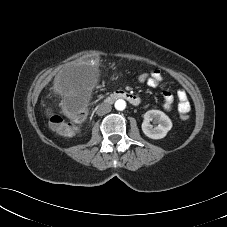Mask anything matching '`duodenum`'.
<instances>
[{
	"label": "duodenum",
	"instance_id": "1",
	"mask_svg": "<svg viewBox=\"0 0 227 227\" xmlns=\"http://www.w3.org/2000/svg\"><path fill=\"white\" fill-rule=\"evenodd\" d=\"M118 99H124L134 106L139 105L141 102L140 98L137 95L124 91V90H116V91L110 93L106 97L104 102L107 104H110Z\"/></svg>",
	"mask_w": 227,
	"mask_h": 227
}]
</instances>
